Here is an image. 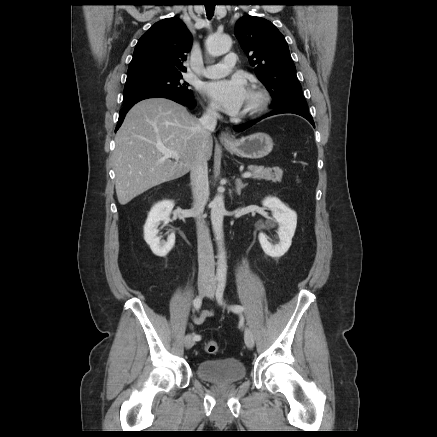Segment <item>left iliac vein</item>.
I'll return each instance as SVG.
<instances>
[{"label":"left iliac vein","instance_id":"left-iliac-vein-1","mask_svg":"<svg viewBox=\"0 0 437 437\" xmlns=\"http://www.w3.org/2000/svg\"><path fill=\"white\" fill-rule=\"evenodd\" d=\"M207 296L209 298H213L214 297V288H210L209 291L207 292ZM244 340H245V344L249 349H252L254 347V336L252 331L249 328L245 329L244 332Z\"/></svg>","mask_w":437,"mask_h":437}]
</instances>
